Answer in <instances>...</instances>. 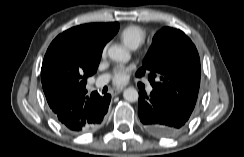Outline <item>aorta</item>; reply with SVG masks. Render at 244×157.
Segmentation results:
<instances>
[{"label": "aorta", "mask_w": 244, "mask_h": 157, "mask_svg": "<svg viewBox=\"0 0 244 157\" xmlns=\"http://www.w3.org/2000/svg\"><path fill=\"white\" fill-rule=\"evenodd\" d=\"M108 56L117 62H127L130 59L129 52L119 45H112L108 49ZM123 97L128 102H136L139 94L135 88H127L123 92Z\"/></svg>", "instance_id": "762f6f07"}]
</instances>
